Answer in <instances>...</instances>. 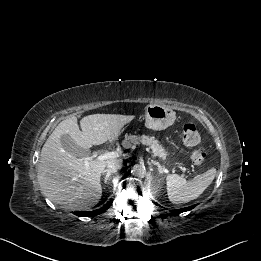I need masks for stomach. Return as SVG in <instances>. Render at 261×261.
<instances>
[{
  "label": "stomach",
  "mask_w": 261,
  "mask_h": 261,
  "mask_svg": "<svg viewBox=\"0 0 261 261\" xmlns=\"http://www.w3.org/2000/svg\"><path fill=\"white\" fill-rule=\"evenodd\" d=\"M176 113L166 105L150 104L145 108V126L152 130H163L171 126Z\"/></svg>",
  "instance_id": "obj_1"
}]
</instances>
